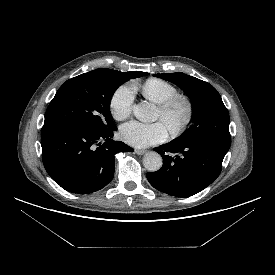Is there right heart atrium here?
<instances>
[{"instance_id":"1","label":"right heart atrium","mask_w":275,"mask_h":275,"mask_svg":"<svg viewBox=\"0 0 275 275\" xmlns=\"http://www.w3.org/2000/svg\"><path fill=\"white\" fill-rule=\"evenodd\" d=\"M134 100L133 84L125 83L117 87L109 99V109L112 116L118 121L127 119L132 114Z\"/></svg>"}]
</instances>
